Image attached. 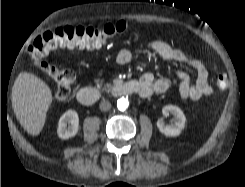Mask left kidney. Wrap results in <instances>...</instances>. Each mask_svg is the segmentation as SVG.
Wrapping results in <instances>:
<instances>
[{"label":"left kidney","instance_id":"left-kidney-1","mask_svg":"<svg viewBox=\"0 0 245 187\" xmlns=\"http://www.w3.org/2000/svg\"><path fill=\"white\" fill-rule=\"evenodd\" d=\"M162 113L164 116L172 114L175 117V121L173 124L166 125L163 119H159L157 121L159 131L168 137L179 136L182 130L185 128L186 118L183 111L177 106L166 105L162 108Z\"/></svg>","mask_w":245,"mask_h":187}]
</instances>
